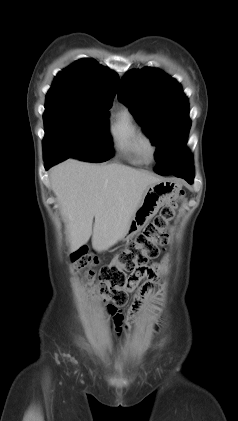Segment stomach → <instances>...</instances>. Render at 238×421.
<instances>
[{"label":"stomach","mask_w":238,"mask_h":421,"mask_svg":"<svg viewBox=\"0 0 238 421\" xmlns=\"http://www.w3.org/2000/svg\"><path fill=\"white\" fill-rule=\"evenodd\" d=\"M178 191L179 186L171 180H161L149 185L129 221L122 240H131L157 214L162 206L176 196Z\"/></svg>","instance_id":"0dacf381"}]
</instances>
